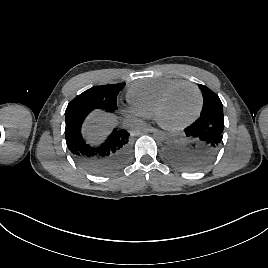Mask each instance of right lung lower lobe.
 Listing matches in <instances>:
<instances>
[{
  "mask_svg": "<svg viewBox=\"0 0 268 268\" xmlns=\"http://www.w3.org/2000/svg\"><path fill=\"white\" fill-rule=\"evenodd\" d=\"M97 108L100 107L84 103L67 108L65 137L73 158L91 173L103 175L119 169L126 161L130 150V134L126 130L114 129L100 145L87 144L81 135V126L87 115Z\"/></svg>",
  "mask_w": 268,
  "mask_h": 268,
  "instance_id": "right-lung-lower-lobe-1",
  "label": "right lung lower lobe"
}]
</instances>
